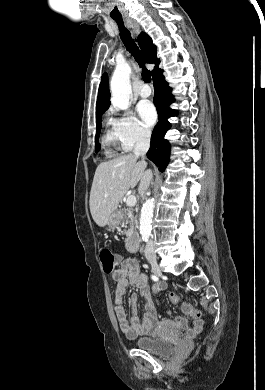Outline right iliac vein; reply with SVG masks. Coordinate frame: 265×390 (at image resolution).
I'll return each instance as SVG.
<instances>
[{"label": "right iliac vein", "instance_id": "63e3f726", "mask_svg": "<svg viewBox=\"0 0 265 390\" xmlns=\"http://www.w3.org/2000/svg\"><path fill=\"white\" fill-rule=\"evenodd\" d=\"M147 260L148 262L150 263L151 265V269H152V272L157 275V276H160L162 274L161 272V268L160 266L158 265L157 263V259L155 256H148L147 257Z\"/></svg>", "mask_w": 265, "mask_h": 390}]
</instances>
